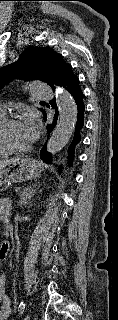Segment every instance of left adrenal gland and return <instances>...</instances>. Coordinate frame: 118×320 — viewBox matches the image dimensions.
<instances>
[{
  "mask_svg": "<svg viewBox=\"0 0 118 320\" xmlns=\"http://www.w3.org/2000/svg\"><path fill=\"white\" fill-rule=\"evenodd\" d=\"M35 188H36V184H34L33 187L30 186L25 188L21 194L22 201H26L27 199H30L35 192Z\"/></svg>",
  "mask_w": 118,
  "mask_h": 320,
  "instance_id": "a2214340",
  "label": "left adrenal gland"
}]
</instances>
